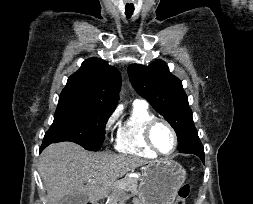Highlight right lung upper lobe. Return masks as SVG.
Wrapping results in <instances>:
<instances>
[{"label": "right lung upper lobe", "mask_w": 253, "mask_h": 204, "mask_svg": "<svg viewBox=\"0 0 253 204\" xmlns=\"http://www.w3.org/2000/svg\"><path fill=\"white\" fill-rule=\"evenodd\" d=\"M121 86L120 72L99 58L85 60L68 78L62 93L76 95L114 111Z\"/></svg>", "instance_id": "obj_1"}]
</instances>
